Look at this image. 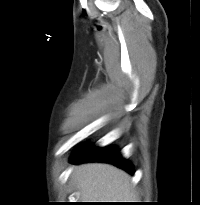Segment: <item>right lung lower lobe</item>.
Returning <instances> with one entry per match:
<instances>
[{"mask_svg": "<svg viewBox=\"0 0 200 205\" xmlns=\"http://www.w3.org/2000/svg\"><path fill=\"white\" fill-rule=\"evenodd\" d=\"M99 161L112 163L129 173H133L132 165L121 158L115 147L95 148L92 146L79 147L72 156V163Z\"/></svg>", "mask_w": 200, "mask_h": 205, "instance_id": "obj_1", "label": "right lung lower lobe"}]
</instances>
